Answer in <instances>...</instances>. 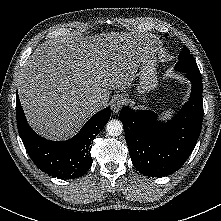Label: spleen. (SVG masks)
Returning a JSON list of instances; mask_svg holds the SVG:
<instances>
[{"mask_svg":"<svg viewBox=\"0 0 221 221\" xmlns=\"http://www.w3.org/2000/svg\"><path fill=\"white\" fill-rule=\"evenodd\" d=\"M171 111L164 112V118H169L171 116Z\"/></svg>","mask_w":221,"mask_h":221,"instance_id":"1","label":"spleen"}]
</instances>
